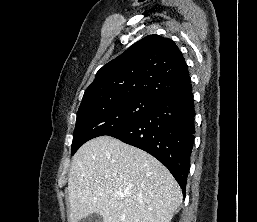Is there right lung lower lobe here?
Masks as SVG:
<instances>
[{
	"mask_svg": "<svg viewBox=\"0 0 257 222\" xmlns=\"http://www.w3.org/2000/svg\"><path fill=\"white\" fill-rule=\"evenodd\" d=\"M194 99L192 88L160 101L133 125L110 136L140 148L163 163L185 195L194 143Z\"/></svg>",
	"mask_w": 257,
	"mask_h": 222,
	"instance_id": "98d812e1",
	"label": "right lung lower lobe"
}]
</instances>
